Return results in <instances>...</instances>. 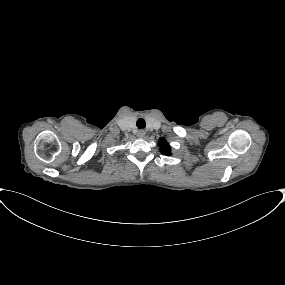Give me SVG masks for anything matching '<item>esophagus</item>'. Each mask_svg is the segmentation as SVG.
<instances>
[{"mask_svg": "<svg viewBox=\"0 0 285 285\" xmlns=\"http://www.w3.org/2000/svg\"><path fill=\"white\" fill-rule=\"evenodd\" d=\"M145 134H146V132H145V130H143V129H140V130L138 131V137H139V138H143V137L145 136Z\"/></svg>", "mask_w": 285, "mask_h": 285, "instance_id": "1", "label": "esophagus"}]
</instances>
